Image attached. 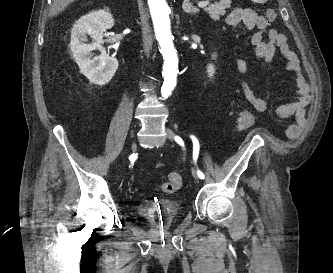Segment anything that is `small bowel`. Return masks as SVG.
<instances>
[{
  "label": "small bowel",
  "instance_id": "obj_1",
  "mask_svg": "<svg viewBox=\"0 0 333 273\" xmlns=\"http://www.w3.org/2000/svg\"><path fill=\"white\" fill-rule=\"evenodd\" d=\"M227 24L235 29L246 28L256 29L250 37V44L254 47L255 55L265 63L272 61L276 51H279L287 62V69L295 74L298 100L294 103L284 104L277 109L281 117L294 116L295 123L291 127L292 132L298 130L301 119L304 116L303 110L306 105L305 79L301 72L299 61L295 53L289 48L286 37L273 28H268V19L258 14L255 10L245 7H235L227 15ZM265 35L267 38H265ZM236 68L240 74H247L249 67L244 59L235 61ZM238 85L250 105L258 112H265L269 108V98H260L250 86L242 79H237Z\"/></svg>",
  "mask_w": 333,
  "mask_h": 273
}]
</instances>
